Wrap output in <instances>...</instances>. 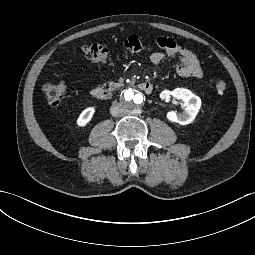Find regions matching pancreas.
Segmentation results:
<instances>
[{
  "label": "pancreas",
  "mask_w": 255,
  "mask_h": 255,
  "mask_svg": "<svg viewBox=\"0 0 255 255\" xmlns=\"http://www.w3.org/2000/svg\"><path fill=\"white\" fill-rule=\"evenodd\" d=\"M109 86L110 87L108 88V91H113V90H116V89H118L120 87H123L124 84H121V83H115V84L110 83Z\"/></svg>",
  "instance_id": "1"
}]
</instances>
